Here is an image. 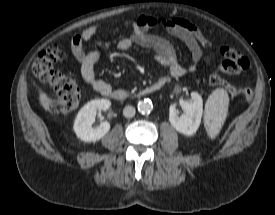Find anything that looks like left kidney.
Instances as JSON below:
<instances>
[{
	"label": "left kidney",
	"mask_w": 275,
	"mask_h": 215,
	"mask_svg": "<svg viewBox=\"0 0 275 215\" xmlns=\"http://www.w3.org/2000/svg\"><path fill=\"white\" fill-rule=\"evenodd\" d=\"M184 114L179 116L174 105L169 108V121L171 125L180 133L191 136L201 123L203 114V100L197 92L191 93V100L179 101Z\"/></svg>",
	"instance_id": "obj_1"
}]
</instances>
